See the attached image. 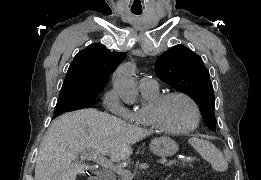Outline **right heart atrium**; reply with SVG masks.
Wrapping results in <instances>:
<instances>
[{"label":"right heart atrium","instance_id":"d8ad5b80","mask_svg":"<svg viewBox=\"0 0 261 180\" xmlns=\"http://www.w3.org/2000/svg\"><path fill=\"white\" fill-rule=\"evenodd\" d=\"M118 95L115 91V89H110L103 98V103L105 108H111V112H114V114H118V117H124V120H130L131 116L130 113L123 108H116L118 104ZM128 127V125H126Z\"/></svg>","mask_w":261,"mask_h":180}]
</instances>
